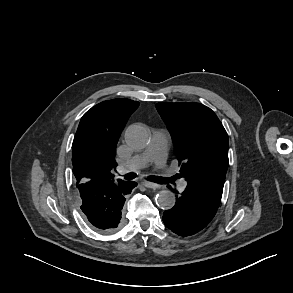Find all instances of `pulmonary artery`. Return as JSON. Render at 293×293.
Masks as SVG:
<instances>
[{"label": "pulmonary artery", "mask_w": 293, "mask_h": 293, "mask_svg": "<svg viewBox=\"0 0 293 293\" xmlns=\"http://www.w3.org/2000/svg\"><path fill=\"white\" fill-rule=\"evenodd\" d=\"M169 139V134L165 130L155 131L144 152L135 155L129 161L121 164L119 172L123 174L138 171L152 162H154L159 168H166V151ZM185 187L186 182L181 181L179 184V190L182 191Z\"/></svg>", "instance_id": "1"}]
</instances>
